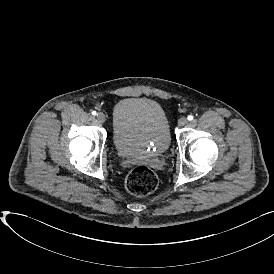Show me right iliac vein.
<instances>
[{
    "label": "right iliac vein",
    "instance_id": "63e3f726",
    "mask_svg": "<svg viewBox=\"0 0 274 274\" xmlns=\"http://www.w3.org/2000/svg\"><path fill=\"white\" fill-rule=\"evenodd\" d=\"M98 122L100 123H104L106 121V116L104 113H98L97 116H96Z\"/></svg>",
    "mask_w": 274,
    "mask_h": 274
}]
</instances>
